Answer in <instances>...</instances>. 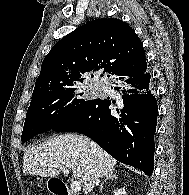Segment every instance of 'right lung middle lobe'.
Here are the masks:
<instances>
[{"label":"right lung middle lobe","instance_id":"1","mask_svg":"<svg viewBox=\"0 0 189 195\" xmlns=\"http://www.w3.org/2000/svg\"><path fill=\"white\" fill-rule=\"evenodd\" d=\"M92 100L78 86L62 89L30 103L22 132V142L39 133L53 130Z\"/></svg>","mask_w":189,"mask_h":195}]
</instances>
